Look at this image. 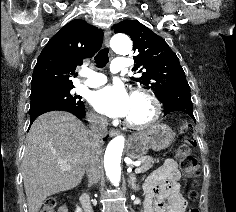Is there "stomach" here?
<instances>
[{
	"mask_svg": "<svg viewBox=\"0 0 236 212\" xmlns=\"http://www.w3.org/2000/svg\"><path fill=\"white\" fill-rule=\"evenodd\" d=\"M174 136L175 134L169 126L156 124L130 138L127 147L128 156L137 158L146 154L149 149L164 150L172 144Z\"/></svg>",
	"mask_w": 236,
	"mask_h": 212,
	"instance_id": "obj_1",
	"label": "stomach"
}]
</instances>
